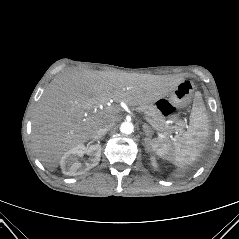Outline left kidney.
<instances>
[{
    "label": "left kidney",
    "instance_id": "5707ae66",
    "mask_svg": "<svg viewBox=\"0 0 239 239\" xmlns=\"http://www.w3.org/2000/svg\"><path fill=\"white\" fill-rule=\"evenodd\" d=\"M150 160H151V163H152V166L154 167V169L157 170L158 165H157V163H156L155 157L152 156V157L150 158Z\"/></svg>",
    "mask_w": 239,
    "mask_h": 239
}]
</instances>
